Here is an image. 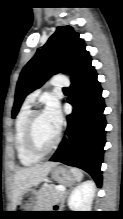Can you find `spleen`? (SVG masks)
I'll return each mask as SVG.
<instances>
[{
    "instance_id": "1",
    "label": "spleen",
    "mask_w": 123,
    "mask_h": 219,
    "mask_svg": "<svg viewBox=\"0 0 123 219\" xmlns=\"http://www.w3.org/2000/svg\"><path fill=\"white\" fill-rule=\"evenodd\" d=\"M72 174L75 176L76 180L80 181L83 178V173L77 168H71Z\"/></svg>"
}]
</instances>
